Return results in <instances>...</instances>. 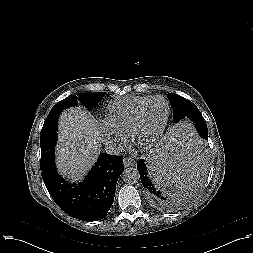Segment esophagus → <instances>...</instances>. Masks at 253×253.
Wrapping results in <instances>:
<instances>
[{
	"instance_id": "esophagus-1",
	"label": "esophagus",
	"mask_w": 253,
	"mask_h": 253,
	"mask_svg": "<svg viewBox=\"0 0 253 253\" xmlns=\"http://www.w3.org/2000/svg\"><path fill=\"white\" fill-rule=\"evenodd\" d=\"M123 163L125 167H130V166H134L135 160L131 157H125L123 159Z\"/></svg>"
}]
</instances>
